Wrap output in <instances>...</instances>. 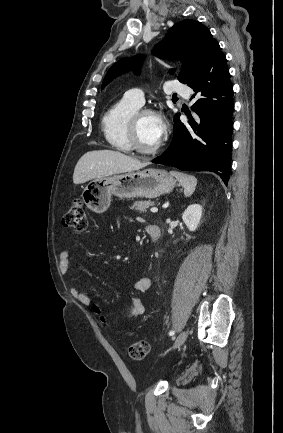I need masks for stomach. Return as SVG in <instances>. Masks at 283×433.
Listing matches in <instances>:
<instances>
[{
	"instance_id": "1",
	"label": "stomach",
	"mask_w": 283,
	"mask_h": 433,
	"mask_svg": "<svg viewBox=\"0 0 283 433\" xmlns=\"http://www.w3.org/2000/svg\"><path fill=\"white\" fill-rule=\"evenodd\" d=\"M176 184L173 176L162 168H145L124 174H107L93 178L82 192V198L94 212H104L110 206L111 196L134 198L146 196L156 198L160 194L171 192Z\"/></svg>"
}]
</instances>
